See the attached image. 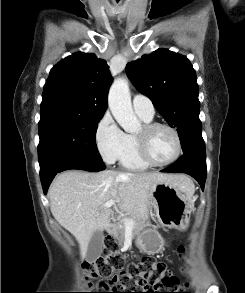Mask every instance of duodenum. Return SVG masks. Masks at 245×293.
<instances>
[{
  "instance_id": "obj_1",
  "label": "duodenum",
  "mask_w": 245,
  "mask_h": 293,
  "mask_svg": "<svg viewBox=\"0 0 245 293\" xmlns=\"http://www.w3.org/2000/svg\"><path fill=\"white\" fill-rule=\"evenodd\" d=\"M106 232L108 235H114V227L113 225L109 224L106 228Z\"/></svg>"
}]
</instances>
